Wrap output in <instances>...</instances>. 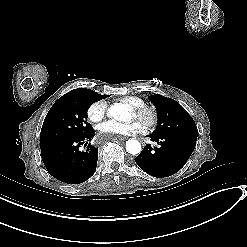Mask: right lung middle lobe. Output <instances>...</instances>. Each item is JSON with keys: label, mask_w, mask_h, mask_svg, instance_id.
<instances>
[{"label": "right lung middle lobe", "mask_w": 247, "mask_h": 247, "mask_svg": "<svg viewBox=\"0 0 247 247\" xmlns=\"http://www.w3.org/2000/svg\"><path fill=\"white\" fill-rule=\"evenodd\" d=\"M108 96L87 88H78L60 97L45 117L40 145L57 139L77 138L90 132L91 125L86 123L88 108Z\"/></svg>", "instance_id": "dd1d6c3e"}]
</instances>
